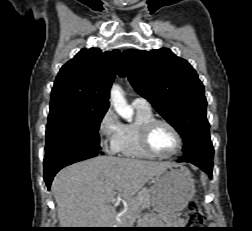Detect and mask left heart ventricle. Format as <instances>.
<instances>
[{
  "label": "left heart ventricle",
  "instance_id": "1",
  "mask_svg": "<svg viewBox=\"0 0 252 231\" xmlns=\"http://www.w3.org/2000/svg\"><path fill=\"white\" fill-rule=\"evenodd\" d=\"M150 143L152 148L161 155H169L177 147V140L174 134L163 124H158L152 129Z\"/></svg>",
  "mask_w": 252,
  "mask_h": 231
}]
</instances>
